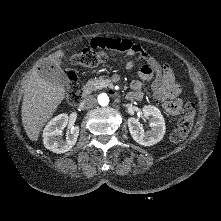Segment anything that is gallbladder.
Returning <instances> with one entry per match:
<instances>
[{
    "label": "gallbladder",
    "instance_id": "bac80fb5",
    "mask_svg": "<svg viewBox=\"0 0 221 221\" xmlns=\"http://www.w3.org/2000/svg\"><path fill=\"white\" fill-rule=\"evenodd\" d=\"M38 74L40 77H42L43 79H45L49 82L58 83L63 86H66L68 84L67 75L59 67L55 66L54 68L47 69V68L41 66Z\"/></svg>",
    "mask_w": 221,
    "mask_h": 221
}]
</instances>
